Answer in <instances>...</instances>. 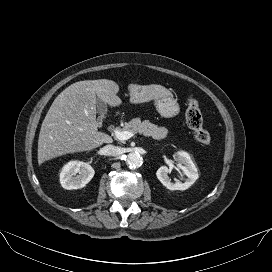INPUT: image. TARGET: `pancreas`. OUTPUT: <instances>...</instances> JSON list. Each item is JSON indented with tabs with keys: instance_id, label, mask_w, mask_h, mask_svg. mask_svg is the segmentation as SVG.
I'll return each mask as SVG.
<instances>
[{
	"instance_id": "obj_1",
	"label": "pancreas",
	"mask_w": 272,
	"mask_h": 272,
	"mask_svg": "<svg viewBox=\"0 0 272 272\" xmlns=\"http://www.w3.org/2000/svg\"><path fill=\"white\" fill-rule=\"evenodd\" d=\"M118 130L140 133L144 136H151L155 140L164 139L169 133L167 128L152 124L148 120L141 122L139 118L132 119L130 122L126 123L122 129Z\"/></svg>"
}]
</instances>
